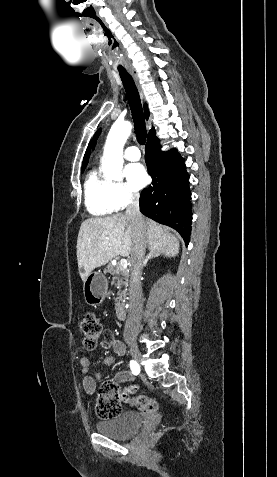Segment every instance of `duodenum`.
<instances>
[{
    "instance_id": "obj_1",
    "label": "duodenum",
    "mask_w": 277,
    "mask_h": 477,
    "mask_svg": "<svg viewBox=\"0 0 277 477\" xmlns=\"http://www.w3.org/2000/svg\"><path fill=\"white\" fill-rule=\"evenodd\" d=\"M116 316L120 320H124L126 317L124 306L121 303H118L115 307Z\"/></svg>"
}]
</instances>
